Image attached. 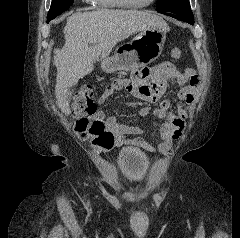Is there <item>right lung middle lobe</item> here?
<instances>
[{"mask_svg":"<svg viewBox=\"0 0 240 238\" xmlns=\"http://www.w3.org/2000/svg\"><path fill=\"white\" fill-rule=\"evenodd\" d=\"M73 1L74 0H52L51 7L48 12L47 23L68 9Z\"/></svg>","mask_w":240,"mask_h":238,"instance_id":"right-lung-middle-lobe-1","label":"right lung middle lobe"}]
</instances>
